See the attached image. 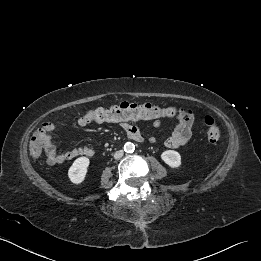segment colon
<instances>
[{
	"mask_svg": "<svg viewBox=\"0 0 261 261\" xmlns=\"http://www.w3.org/2000/svg\"><path fill=\"white\" fill-rule=\"evenodd\" d=\"M184 114L178 107H162L156 103L130 104L123 103L111 108H96L85 114V119L96 122L138 121L159 118H172ZM207 138L216 143L221 137V130L215 119L211 116L204 118ZM47 130L42 127L31 137L29 151L32 156L39 157L44 151Z\"/></svg>",
	"mask_w": 261,
	"mask_h": 261,
	"instance_id": "5ec220e1",
	"label": "colon"
}]
</instances>
